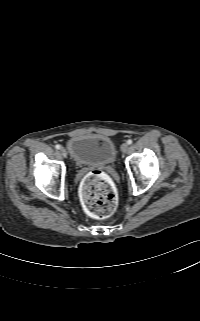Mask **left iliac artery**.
Masks as SVG:
<instances>
[{"instance_id": "left-iliac-artery-1", "label": "left iliac artery", "mask_w": 200, "mask_h": 321, "mask_svg": "<svg viewBox=\"0 0 200 321\" xmlns=\"http://www.w3.org/2000/svg\"><path fill=\"white\" fill-rule=\"evenodd\" d=\"M132 142H133V141H132L131 139H129V140L127 141V144L130 145V144H132Z\"/></svg>"}]
</instances>
